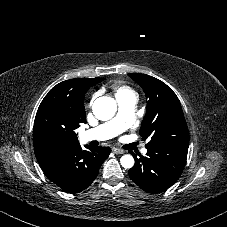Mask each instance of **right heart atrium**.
Returning a JSON list of instances; mask_svg holds the SVG:
<instances>
[{
    "mask_svg": "<svg viewBox=\"0 0 227 227\" xmlns=\"http://www.w3.org/2000/svg\"><path fill=\"white\" fill-rule=\"evenodd\" d=\"M95 97H96L95 94H93V95L91 96V98H90V100H89V105H90V106L92 105V103H93Z\"/></svg>",
    "mask_w": 227,
    "mask_h": 227,
    "instance_id": "1",
    "label": "right heart atrium"
}]
</instances>
